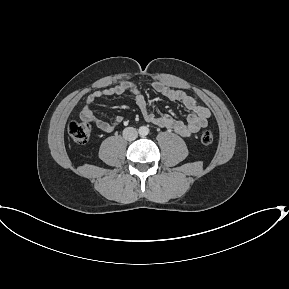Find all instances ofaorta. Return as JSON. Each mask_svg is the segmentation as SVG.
Here are the masks:
<instances>
[{
	"label": "aorta",
	"mask_w": 289,
	"mask_h": 289,
	"mask_svg": "<svg viewBox=\"0 0 289 289\" xmlns=\"http://www.w3.org/2000/svg\"><path fill=\"white\" fill-rule=\"evenodd\" d=\"M148 133H149L148 127H146V126H141V127L139 128V134H140L141 136H146V135H148Z\"/></svg>",
	"instance_id": "1"
}]
</instances>
